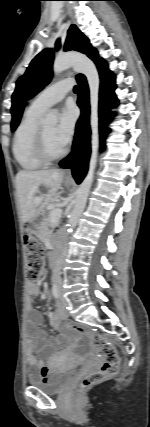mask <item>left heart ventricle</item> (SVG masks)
<instances>
[{
    "mask_svg": "<svg viewBox=\"0 0 150 427\" xmlns=\"http://www.w3.org/2000/svg\"><path fill=\"white\" fill-rule=\"evenodd\" d=\"M55 129L56 126L53 124L43 126L46 145L51 154H57L63 149L55 139Z\"/></svg>",
    "mask_w": 150,
    "mask_h": 427,
    "instance_id": "b2bd125f",
    "label": "left heart ventricle"
}]
</instances>
